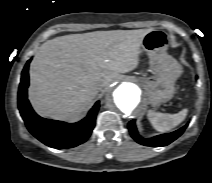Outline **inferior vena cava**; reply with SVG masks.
<instances>
[{"instance_id":"602c4592","label":"inferior vena cava","mask_w":212,"mask_h":183,"mask_svg":"<svg viewBox=\"0 0 212 183\" xmlns=\"http://www.w3.org/2000/svg\"><path fill=\"white\" fill-rule=\"evenodd\" d=\"M103 87H104L103 84H98V85H96V90L100 91Z\"/></svg>"}]
</instances>
